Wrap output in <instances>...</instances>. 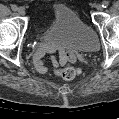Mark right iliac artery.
<instances>
[{
  "label": "right iliac artery",
  "mask_w": 119,
  "mask_h": 119,
  "mask_svg": "<svg viewBox=\"0 0 119 119\" xmlns=\"http://www.w3.org/2000/svg\"><path fill=\"white\" fill-rule=\"evenodd\" d=\"M11 8L13 11H17V9H18L16 5H12Z\"/></svg>",
  "instance_id": "82829eb1"
}]
</instances>
